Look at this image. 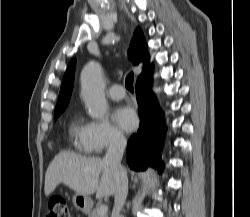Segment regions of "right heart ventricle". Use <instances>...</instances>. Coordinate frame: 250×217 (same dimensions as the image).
<instances>
[{
	"label": "right heart ventricle",
	"instance_id": "e07e8e85",
	"mask_svg": "<svg viewBox=\"0 0 250 217\" xmlns=\"http://www.w3.org/2000/svg\"><path fill=\"white\" fill-rule=\"evenodd\" d=\"M69 135L74 147L80 152H88L85 141V124L78 118L74 117L69 123Z\"/></svg>",
	"mask_w": 250,
	"mask_h": 217
}]
</instances>
